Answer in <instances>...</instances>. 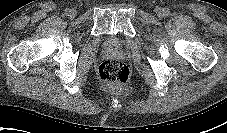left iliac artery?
<instances>
[{
	"label": "left iliac artery",
	"mask_w": 227,
	"mask_h": 133,
	"mask_svg": "<svg viewBox=\"0 0 227 133\" xmlns=\"http://www.w3.org/2000/svg\"><path fill=\"white\" fill-rule=\"evenodd\" d=\"M164 14H165V15H169V10L166 9V10L164 11Z\"/></svg>",
	"instance_id": "left-iliac-artery-1"
}]
</instances>
